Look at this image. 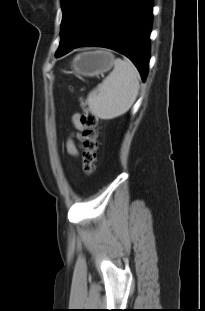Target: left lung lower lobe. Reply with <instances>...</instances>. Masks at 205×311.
Listing matches in <instances>:
<instances>
[{
    "mask_svg": "<svg viewBox=\"0 0 205 311\" xmlns=\"http://www.w3.org/2000/svg\"><path fill=\"white\" fill-rule=\"evenodd\" d=\"M153 0H116L101 22L74 48L95 46L113 49L126 55L138 68L145 81L150 59V31Z\"/></svg>",
    "mask_w": 205,
    "mask_h": 311,
    "instance_id": "obj_1",
    "label": "left lung lower lobe"
}]
</instances>
